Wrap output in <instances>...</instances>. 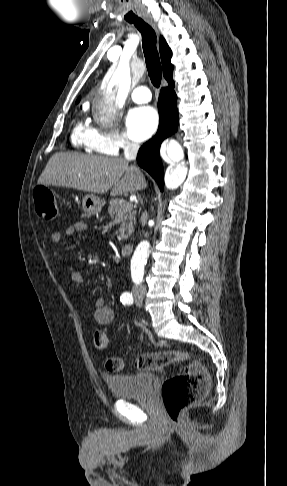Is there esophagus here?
<instances>
[{
  "label": "esophagus",
  "instance_id": "1",
  "mask_svg": "<svg viewBox=\"0 0 287 486\" xmlns=\"http://www.w3.org/2000/svg\"><path fill=\"white\" fill-rule=\"evenodd\" d=\"M146 21H147V22H148V23H149V24H150V25L153 27V29H154L156 32L158 31V30H157V27H156V25H155V23H154V22H153L151 19H148V18H147V19H146Z\"/></svg>",
  "mask_w": 287,
  "mask_h": 486
}]
</instances>
